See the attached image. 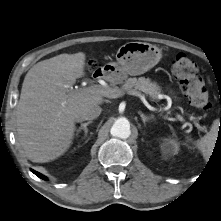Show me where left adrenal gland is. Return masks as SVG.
Wrapping results in <instances>:
<instances>
[{
  "label": "left adrenal gland",
  "mask_w": 221,
  "mask_h": 221,
  "mask_svg": "<svg viewBox=\"0 0 221 221\" xmlns=\"http://www.w3.org/2000/svg\"><path fill=\"white\" fill-rule=\"evenodd\" d=\"M139 115L142 118L144 124L154 118L153 116H146L142 112H139Z\"/></svg>",
  "instance_id": "a2214340"
}]
</instances>
